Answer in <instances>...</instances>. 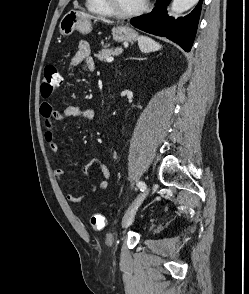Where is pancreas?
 I'll return each instance as SVG.
<instances>
[{
	"mask_svg": "<svg viewBox=\"0 0 249 294\" xmlns=\"http://www.w3.org/2000/svg\"><path fill=\"white\" fill-rule=\"evenodd\" d=\"M118 53V48L102 49L97 55V59L105 61L108 57L114 56Z\"/></svg>",
	"mask_w": 249,
	"mask_h": 294,
	"instance_id": "1",
	"label": "pancreas"
}]
</instances>
